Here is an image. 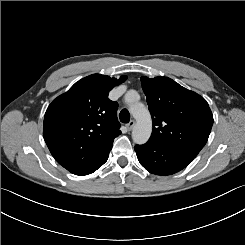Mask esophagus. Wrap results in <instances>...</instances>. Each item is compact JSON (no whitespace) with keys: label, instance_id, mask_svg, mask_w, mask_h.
I'll list each match as a JSON object with an SVG mask.
<instances>
[{"label":"esophagus","instance_id":"esophagus-1","mask_svg":"<svg viewBox=\"0 0 245 245\" xmlns=\"http://www.w3.org/2000/svg\"><path fill=\"white\" fill-rule=\"evenodd\" d=\"M134 125H135L134 120H131L129 123H127L126 127H127L128 131H131L133 129Z\"/></svg>","mask_w":245,"mask_h":245}]
</instances>
